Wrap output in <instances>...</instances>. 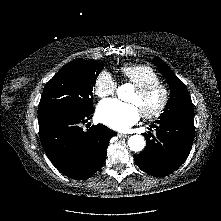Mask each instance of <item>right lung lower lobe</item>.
<instances>
[{"label":"right lung lower lobe","mask_w":221,"mask_h":221,"mask_svg":"<svg viewBox=\"0 0 221 221\" xmlns=\"http://www.w3.org/2000/svg\"><path fill=\"white\" fill-rule=\"evenodd\" d=\"M94 108L86 112L59 113L39 121L41 144L52 164L65 176L87 179L103 165L109 140L117 133L104 125L81 128L92 117Z\"/></svg>","instance_id":"right-lung-lower-lobe-1"}]
</instances>
